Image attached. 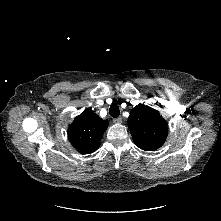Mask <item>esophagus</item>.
<instances>
[{
  "instance_id": "esophagus-1",
  "label": "esophagus",
  "mask_w": 221,
  "mask_h": 221,
  "mask_svg": "<svg viewBox=\"0 0 221 221\" xmlns=\"http://www.w3.org/2000/svg\"><path fill=\"white\" fill-rule=\"evenodd\" d=\"M113 122L117 123V124H121L122 123V118L121 117L114 118Z\"/></svg>"
}]
</instances>
